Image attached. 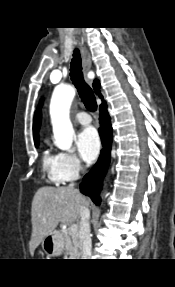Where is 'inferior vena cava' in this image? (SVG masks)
Returning <instances> with one entry per match:
<instances>
[{"instance_id":"602c4592","label":"inferior vena cava","mask_w":175,"mask_h":287,"mask_svg":"<svg viewBox=\"0 0 175 287\" xmlns=\"http://www.w3.org/2000/svg\"><path fill=\"white\" fill-rule=\"evenodd\" d=\"M69 189L74 190L75 184L70 183L68 186ZM80 240L82 243V259H90L91 257V248H92V242L90 237V224H89V218H90V211L86 206L80 207Z\"/></svg>"}]
</instances>
